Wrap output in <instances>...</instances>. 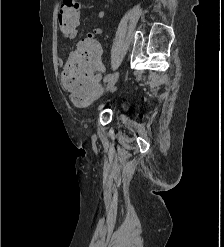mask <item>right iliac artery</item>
<instances>
[{
  "label": "right iliac artery",
  "mask_w": 224,
  "mask_h": 247,
  "mask_svg": "<svg viewBox=\"0 0 224 247\" xmlns=\"http://www.w3.org/2000/svg\"><path fill=\"white\" fill-rule=\"evenodd\" d=\"M111 76H112V74L106 75L104 78V82H108L110 80Z\"/></svg>",
  "instance_id": "obj_1"
}]
</instances>
